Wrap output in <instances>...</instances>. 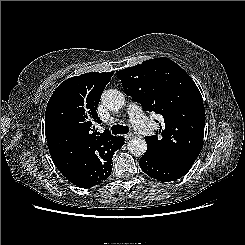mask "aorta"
<instances>
[{
	"label": "aorta",
	"mask_w": 245,
	"mask_h": 245,
	"mask_svg": "<svg viewBox=\"0 0 245 245\" xmlns=\"http://www.w3.org/2000/svg\"><path fill=\"white\" fill-rule=\"evenodd\" d=\"M102 103L110 111H118L125 104L124 94L115 89H109L103 92ZM128 150L135 156H142L147 150L146 141L142 138H135L129 141Z\"/></svg>",
	"instance_id": "762f6f07"
}]
</instances>
